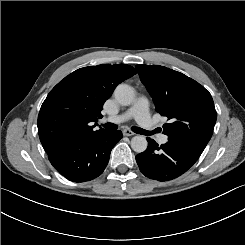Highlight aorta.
I'll return each mask as SVG.
<instances>
[{
    "mask_svg": "<svg viewBox=\"0 0 245 245\" xmlns=\"http://www.w3.org/2000/svg\"><path fill=\"white\" fill-rule=\"evenodd\" d=\"M116 101L123 106H128L133 103L135 94L131 86L120 84L114 90ZM148 142L144 136L137 135L131 139V148L137 152L142 153L147 149Z\"/></svg>",
    "mask_w": 245,
    "mask_h": 245,
    "instance_id": "aorta-1",
    "label": "aorta"
}]
</instances>
